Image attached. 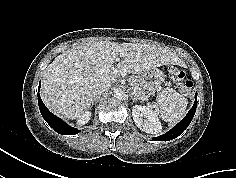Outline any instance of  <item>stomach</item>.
<instances>
[{"mask_svg": "<svg viewBox=\"0 0 236 178\" xmlns=\"http://www.w3.org/2000/svg\"><path fill=\"white\" fill-rule=\"evenodd\" d=\"M164 79V73L158 68H153L146 72L140 73L137 77L139 86L145 91L146 94L159 88Z\"/></svg>", "mask_w": 236, "mask_h": 178, "instance_id": "stomach-1", "label": "stomach"}]
</instances>
